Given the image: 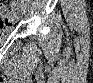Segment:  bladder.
I'll return each mask as SVG.
<instances>
[{
    "label": "bladder",
    "mask_w": 93,
    "mask_h": 83,
    "mask_svg": "<svg viewBox=\"0 0 93 83\" xmlns=\"http://www.w3.org/2000/svg\"><path fill=\"white\" fill-rule=\"evenodd\" d=\"M11 32H12V31H11V27H2L0 34H1L2 36H7V35H9Z\"/></svg>",
    "instance_id": "obj_1"
}]
</instances>
